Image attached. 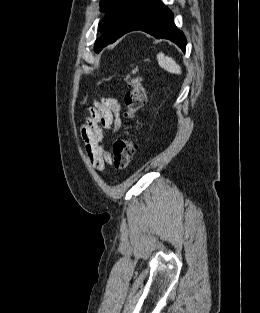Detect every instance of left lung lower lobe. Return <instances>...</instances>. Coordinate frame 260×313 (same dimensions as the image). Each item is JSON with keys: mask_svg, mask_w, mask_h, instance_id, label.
Segmentation results:
<instances>
[{"mask_svg": "<svg viewBox=\"0 0 260 313\" xmlns=\"http://www.w3.org/2000/svg\"><path fill=\"white\" fill-rule=\"evenodd\" d=\"M135 30H142L158 39H169L176 43L182 51H185V36L175 26L173 13L160 0H154L122 35Z\"/></svg>", "mask_w": 260, "mask_h": 313, "instance_id": "obj_1", "label": "left lung lower lobe"}]
</instances>
